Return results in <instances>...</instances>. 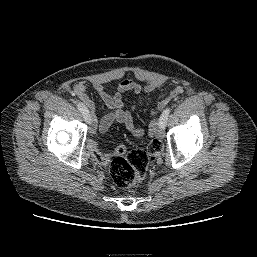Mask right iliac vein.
<instances>
[{"instance_id": "1", "label": "right iliac vein", "mask_w": 257, "mask_h": 257, "mask_svg": "<svg viewBox=\"0 0 257 257\" xmlns=\"http://www.w3.org/2000/svg\"><path fill=\"white\" fill-rule=\"evenodd\" d=\"M85 120H86L90 125H93V120H94V118H93V115H92V114H89V116H88L87 118H85ZM90 132L92 133L93 130L90 129Z\"/></svg>"}]
</instances>
